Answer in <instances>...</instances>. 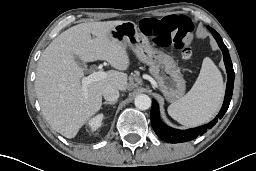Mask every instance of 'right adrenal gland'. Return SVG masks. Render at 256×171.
Here are the masks:
<instances>
[{
    "label": "right adrenal gland",
    "instance_id": "obj_1",
    "mask_svg": "<svg viewBox=\"0 0 256 171\" xmlns=\"http://www.w3.org/2000/svg\"><path fill=\"white\" fill-rule=\"evenodd\" d=\"M116 102H117V101H113V102H107V101H105V102H103L102 104H103V105H115Z\"/></svg>",
    "mask_w": 256,
    "mask_h": 171
}]
</instances>
